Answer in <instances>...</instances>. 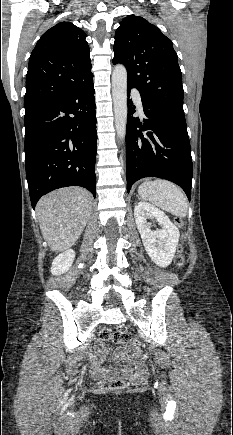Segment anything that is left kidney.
Returning a JSON list of instances; mask_svg holds the SVG:
<instances>
[{"instance_id": "1", "label": "left kidney", "mask_w": 233, "mask_h": 435, "mask_svg": "<svg viewBox=\"0 0 233 435\" xmlns=\"http://www.w3.org/2000/svg\"><path fill=\"white\" fill-rule=\"evenodd\" d=\"M134 217L149 257L160 267L170 265L179 241L178 228L163 211L147 202L141 201L135 206ZM148 218H155L162 229L152 231L147 223Z\"/></svg>"}]
</instances>
